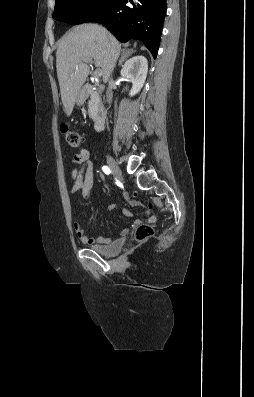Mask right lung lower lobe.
Instances as JSON below:
<instances>
[{
    "instance_id": "obj_1",
    "label": "right lung lower lobe",
    "mask_w": 254,
    "mask_h": 397,
    "mask_svg": "<svg viewBox=\"0 0 254 397\" xmlns=\"http://www.w3.org/2000/svg\"><path fill=\"white\" fill-rule=\"evenodd\" d=\"M128 2L133 7H128ZM166 15V0H114L91 21L103 23L121 42L142 41L156 58Z\"/></svg>"
}]
</instances>
